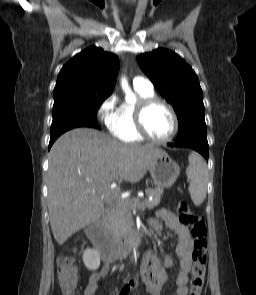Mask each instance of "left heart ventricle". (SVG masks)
I'll return each instance as SVG.
<instances>
[{
	"instance_id": "1",
	"label": "left heart ventricle",
	"mask_w": 256,
	"mask_h": 295,
	"mask_svg": "<svg viewBox=\"0 0 256 295\" xmlns=\"http://www.w3.org/2000/svg\"><path fill=\"white\" fill-rule=\"evenodd\" d=\"M148 131L156 138L169 136L173 129V120L168 109L162 104H155L145 114Z\"/></svg>"
}]
</instances>
